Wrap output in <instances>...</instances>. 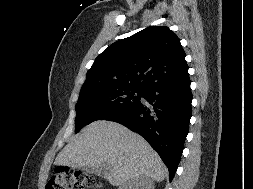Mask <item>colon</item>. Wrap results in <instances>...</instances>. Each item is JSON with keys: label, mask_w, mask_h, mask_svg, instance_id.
<instances>
[{"label": "colon", "mask_w": 253, "mask_h": 189, "mask_svg": "<svg viewBox=\"0 0 253 189\" xmlns=\"http://www.w3.org/2000/svg\"><path fill=\"white\" fill-rule=\"evenodd\" d=\"M99 185L89 175L66 167L57 168L47 182L46 189H98Z\"/></svg>", "instance_id": "1"}]
</instances>
